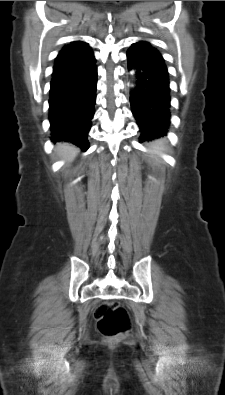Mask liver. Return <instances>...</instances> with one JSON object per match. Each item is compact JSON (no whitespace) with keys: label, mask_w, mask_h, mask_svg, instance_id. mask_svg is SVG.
I'll use <instances>...</instances> for the list:
<instances>
[{"label":"liver","mask_w":225,"mask_h":395,"mask_svg":"<svg viewBox=\"0 0 225 395\" xmlns=\"http://www.w3.org/2000/svg\"><path fill=\"white\" fill-rule=\"evenodd\" d=\"M56 151L63 159L72 160L79 152V149L68 143H59L56 146Z\"/></svg>","instance_id":"liver-1"}]
</instances>
